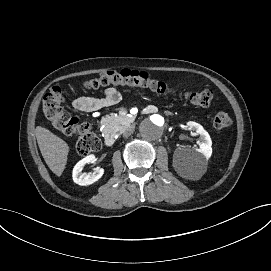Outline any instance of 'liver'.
<instances>
[{
	"instance_id": "obj_1",
	"label": "liver",
	"mask_w": 271,
	"mask_h": 271,
	"mask_svg": "<svg viewBox=\"0 0 271 271\" xmlns=\"http://www.w3.org/2000/svg\"><path fill=\"white\" fill-rule=\"evenodd\" d=\"M35 135L46 164L54 174L61 176L67 163L69 146L48 129L40 126L36 128Z\"/></svg>"
}]
</instances>
